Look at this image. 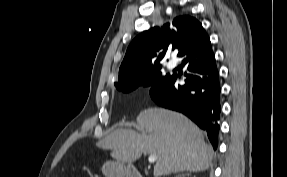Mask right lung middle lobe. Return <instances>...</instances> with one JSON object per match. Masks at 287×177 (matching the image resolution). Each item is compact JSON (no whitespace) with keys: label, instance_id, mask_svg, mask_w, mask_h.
<instances>
[{"label":"right lung middle lobe","instance_id":"right-lung-middle-lobe-1","mask_svg":"<svg viewBox=\"0 0 287 177\" xmlns=\"http://www.w3.org/2000/svg\"><path fill=\"white\" fill-rule=\"evenodd\" d=\"M170 76V74L163 75L161 72V66L157 67L156 69L152 70L148 74H146L144 77L141 79L134 81V82H129L121 85H117L116 88L119 91L122 92H130L136 89L137 87L143 85V86H154L158 82H162L165 79H167Z\"/></svg>","mask_w":287,"mask_h":177}]
</instances>
